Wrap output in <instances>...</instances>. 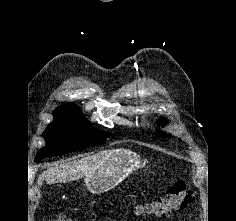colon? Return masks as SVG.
Segmentation results:
<instances>
[{
	"instance_id": "1",
	"label": "colon",
	"mask_w": 236,
	"mask_h": 221,
	"mask_svg": "<svg viewBox=\"0 0 236 221\" xmlns=\"http://www.w3.org/2000/svg\"><path fill=\"white\" fill-rule=\"evenodd\" d=\"M194 199L192 190L183 181H178L167 189L164 195L136 207L138 214L166 217L183 210ZM49 221H74L61 215Z\"/></svg>"
}]
</instances>
